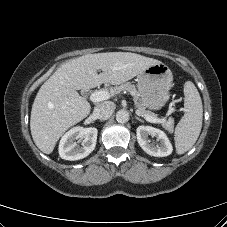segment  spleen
Returning a JSON list of instances; mask_svg holds the SVG:
<instances>
[{"label": "spleen", "mask_w": 227, "mask_h": 227, "mask_svg": "<svg viewBox=\"0 0 227 227\" xmlns=\"http://www.w3.org/2000/svg\"><path fill=\"white\" fill-rule=\"evenodd\" d=\"M184 96L185 114L177 124L174 135L175 148L178 154H184L193 147L202 128V100L193 82H185Z\"/></svg>", "instance_id": "obj_1"}]
</instances>
